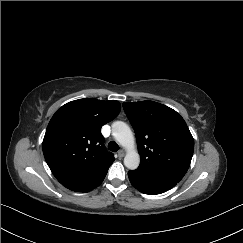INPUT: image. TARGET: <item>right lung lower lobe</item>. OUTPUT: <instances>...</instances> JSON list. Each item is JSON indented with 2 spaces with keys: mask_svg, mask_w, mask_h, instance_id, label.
<instances>
[{
  "mask_svg": "<svg viewBox=\"0 0 243 243\" xmlns=\"http://www.w3.org/2000/svg\"><path fill=\"white\" fill-rule=\"evenodd\" d=\"M111 164L112 162L105 164L99 169H97L95 172L91 173L90 175L80 179L66 182L63 185L66 188L77 192L91 191L102 183Z\"/></svg>",
  "mask_w": 243,
  "mask_h": 243,
  "instance_id": "1",
  "label": "right lung lower lobe"
}]
</instances>
